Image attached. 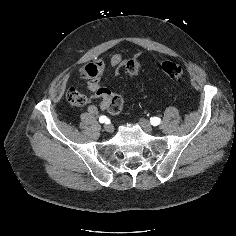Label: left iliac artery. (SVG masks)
<instances>
[{
  "mask_svg": "<svg viewBox=\"0 0 236 236\" xmlns=\"http://www.w3.org/2000/svg\"><path fill=\"white\" fill-rule=\"evenodd\" d=\"M160 122H161V119L158 118V117H152V118H150V123H151L153 126L159 125Z\"/></svg>",
  "mask_w": 236,
  "mask_h": 236,
  "instance_id": "44dca946",
  "label": "left iliac artery"
}]
</instances>
